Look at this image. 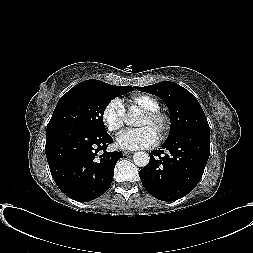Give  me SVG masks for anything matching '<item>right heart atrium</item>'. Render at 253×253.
Segmentation results:
<instances>
[{
    "label": "right heart atrium",
    "instance_id": "obj_1",
    "mask_svg": "<svg viewBox=\"0 0 253 253\" xmlns=\"http://www.w3.org/2000/svg\"><path fill=\"white\" fill-rule=\"evenodd\" d=\"M102 120L108 131L120 132L126 122V111L123 102L118 98L110 100L103 109Z\"/></svg>",
    "mask_w": 253,
    "mask_h": 253
}]
</instances>
